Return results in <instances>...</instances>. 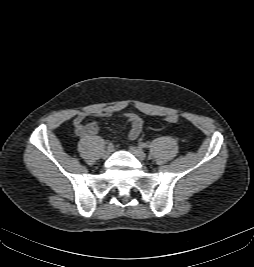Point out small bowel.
Wrapping results in <instances>:
<instances>
[{
    "instance_id": "small-bowel-1",
    "label": "small bowel",
    "mask_w": 254,
    "mask_h": 267,
    "mask_svg": "<svg viewBox=\"0 0 254 267\" xmlns=\"http://www.w3.org/2000/svg\"><path fill=\"white\" fill-rule=\"evenodd\" d=\"M112 115L110 111H93V112H81L76 115L73 121L75 132L80 136H94L98 133V126L95 122L83 124L84 119L88 117H109ZM127 121L130 123V130L128 132V138L135 140L143 129V120L140 116L134 113L125 114Z\"/></svg>"
}]
</instances>
